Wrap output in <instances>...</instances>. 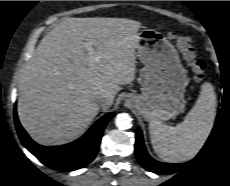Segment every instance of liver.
<instances>
[{
  "label": "liver",
  "instance_id": "6515ba94",
  "mask_svg": "<svg viewBox=\"0 0 230 186\" xmlns=\"http://www.w3.org/2000/svg\"><path fill=\"white\" fill-rule=\"evenodd\" d=\"M141 23L126 18H66L40 41L20 79L17 111L32 139L68 143L108 109L120 85L135 79ZM84 41L97 60L89 63ZM98 96L108 103L99 106Z\"/></svg>",
  "mask_w": 230,
  "mask_h": 186
}]
</instances>
